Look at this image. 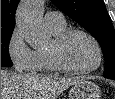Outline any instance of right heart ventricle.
Returning <instances> with one entry per match:
<instances>
[{"instance_id":"e07e8e85","label":"right heart ventricle","mask_w":115,"mask_h":99,"mask_svg":"<svg viewBox=\"0 0 115 99\" xmlns=\"http://www.w3.org/2000/svg\"><path fill=\"white\" fill-rule=\"evenodd\" d=\"M50 33L53 37H56L60 33H62L66 28V24L61 25H47ZM48 49H38L35 51V63L33 70L36 72H52L56 69L53 67V65L50 62L49 56H48Z\"/></svg>"}]
</instances>
